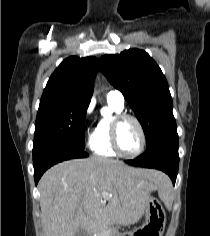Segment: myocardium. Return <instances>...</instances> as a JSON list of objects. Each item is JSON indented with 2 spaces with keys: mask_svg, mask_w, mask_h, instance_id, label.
<instances>
[{
  "mask_svg": "<svg viewBox=\"0 0 210 236\" xmlns=\"http://www.w3.org/2000/svg\"><path fill=\"white\" fill-rule=\"evenodd\" d=\"M126 119H130L133 120L139 129L140 132V136H141V144L139 149L133 153V154H126L121 150L120 144H119V128L121 123L126 120ZM146 142H147V138H146V133L143 127V124L141 123V121L134 115L132 114H128V113H118L116 114L113 119H112V123H111V145L113 150L115 151V153L123 158L126 159H133L138 157L139 155H141V153L144 151L145 147H146Z\"/></svg>",
  "mask_w": 210,
  "mask_h": 236,
  "instance_id": "1",
  "label": "myocardium"
}]
</instances>
